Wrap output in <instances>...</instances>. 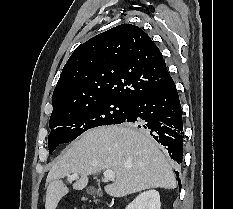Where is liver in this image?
Listing matches in <instances>:
<instances>
[{"mask_svg": "<svg viewBox=\"0 0 233 209\" xmlns=\"http://www.w3.org/2000/svg\"><path fill=\"white\" fill-rule=\"evenodd\" d=\"M109 169L115 180L105 186V192L112 197L176 188L171 166L148 133L130 124L103 126L84 133L52 166L46 179L45 209H56L69 192L62 181L66 176L77 175L73 189L82 190L89 175Z\"/></svg>", "mask_w": 233, "mask_h": 209, "instance_id": "6515ba94", "label": "liver"}]
</instances>
